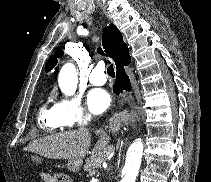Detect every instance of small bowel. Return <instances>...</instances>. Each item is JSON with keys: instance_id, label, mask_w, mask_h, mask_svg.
Instances as JSON below:
<instances>
[{"instance_id": "small-bowel-1", "label": "small bowel", "mask_w": 211, "mask_h": 182, "mask_svg": "<svg viewBox=\"0 0 211 182\" xmlns=\"http://www.w3.org/2000/svg\"><path fill=\"white\" fill-rule=\"evenodd\" d=\"M47 173H45V174H43V179H44V181L46 182V177H47ZM69 182V181H68Z\"/></svg>"}]
</instances>
